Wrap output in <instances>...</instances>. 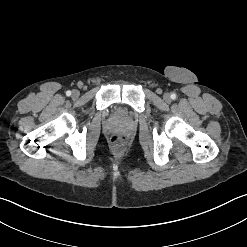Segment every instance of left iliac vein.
Wrapping results in <instances>:
<instances>
[{
	"mask_svg": "<svg viewBox=\"0 0 247 247\" xmlns=\"http://www.w3.org/2000/svg\"><path fill=\"white\" fill-rule=\"evenodd\" d=\"M163 98H164V100H165L166 102H170V101H171V96H170L169 93H165L164 96H163Z\"/></svg>",
	"mask_w": 247,
	"mask_h": 247,
	"instance_id": "left-iliac-vein-1",
	"label": "left iliac vein"
}]
</instances>
